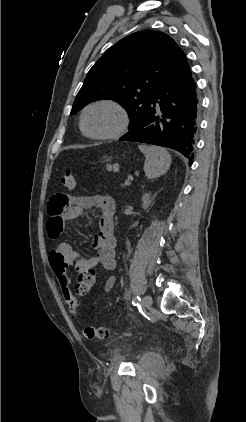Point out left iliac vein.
<instances>
[{"mask_svg":"<svg viewBox=\"0 0 246 422\" xmlns=\"http://www.w3.org/2000/svg\"><path fill=\"white\" fill-rule=\"evenodd\" d=\"M151 304H152V298H151V296H149V295H145V296L143 297V299H142V305H143L145 308H150Z\"/></svg>","mask_w":246,"mask_h":422,"instance_id":"4c4485c4","label":"left iliac vein"}]
</instances>
